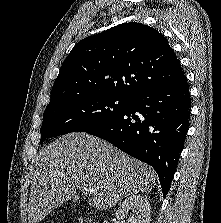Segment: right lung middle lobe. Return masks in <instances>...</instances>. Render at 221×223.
Segmentation results:
<instances>
[{
	"label": "right lung middle lobe",
	"mask_w": 221,
	"mask_h": 223,
	"mask_svg": "<svg viewBox=\"0 0 221 223\" xmlns=\"http://www.w3.org/2000/svg\"><path fill=\"white\" fill-rule=\"evenodd\" d=\"M131 99L106 95L84 94L49 103L43 114L41 141L70 132H85L101 126L121 114Z\"/></svg>",
	"instance_id": "1"
}]
</instances>
